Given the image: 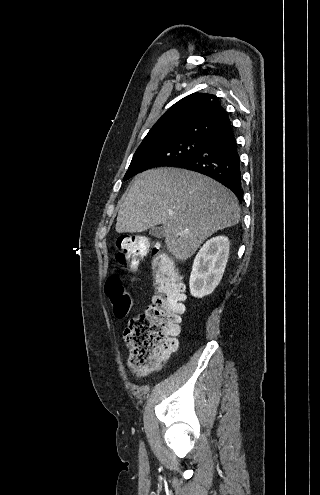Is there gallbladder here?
Listing matches in <instances>:
<instances>
[{
	"label": "gallbladder",
	"mask_w": 320,
	"mask_h": 495,
	"mask_svg": "<svg viewBox=\"0 0 320 495\" xmlns=\"http://www.w3.org/2000/svg\"><path fill=\"white\" fill-rule=\"evenodd\" d=\"M150 235L156 237V238H162L164 237V229L159 226L152 227L149 231Z\"/></svg>",
	"instance_id": "bac80fb5"
}]
</instances>
